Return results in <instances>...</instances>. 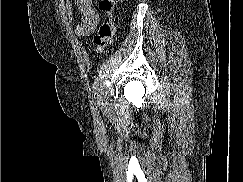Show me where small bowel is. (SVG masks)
Wrapping results in <instances>:
<instances>
[{
    "label": "small bowel",
    "mask_w": 243,
    "mask_h": 182,
    "mask_svg": "<svg viewBox=\"0 0 243 182\" xmlns=\"http://www.w3.org/2000/svg\"><path fill=\"white\" fill-rule=\"evenodd\" d=\"M76 5L80 13V23L76 28V33L80 36H89L99 21L93 0H76Z\"/></svg>",
    "instance_id": "obj_1"
}]
</instances>
